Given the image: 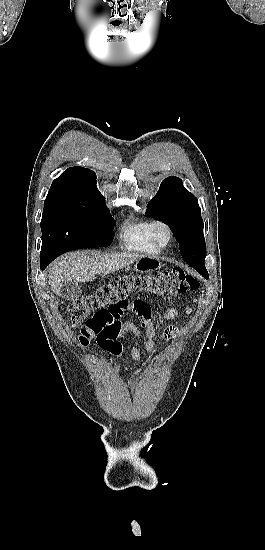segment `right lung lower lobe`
Returning <instances> with one entry per match:
<instances>
[{
    "mask_svg": "<svg viewBox=\"0 0 265 550\" xmlns=\"http://www.w3.org/2000/svg\"><path fill=\"white\" fill-rule=\"evenodd\" d=\"M51 261L48 259L40 258V268L44 270Z\"/></svg>",
    "mask_w": 265,
    "mask_h": 550,
    "instance_id": "obj_1",
    "label": "right lung lower lobe"
}]
</instances>
